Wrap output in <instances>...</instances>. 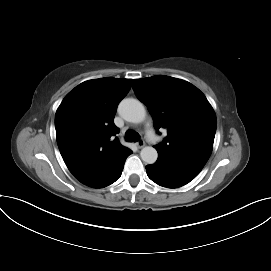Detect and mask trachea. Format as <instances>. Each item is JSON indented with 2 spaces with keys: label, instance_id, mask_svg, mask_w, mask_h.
Returning a JSON list of instances; mask_svg holds the SVG:
<instances>
[{
  "label": "trachea",
  "instance_id": "trachea-1",
  "mask_svg": "<svg viewBox=\"0 0 271 271\" xmlns=\"http://www.w3.org/2000/svg\"><path fill=\"white\" fill-rule=\"evenodd\" d=\"M140 139V135L134 130H127L125 133V140L127 142H137Z\"/></svg>",
  "mask_w": 271,
  "mask_h": 271
}]
</instances>
